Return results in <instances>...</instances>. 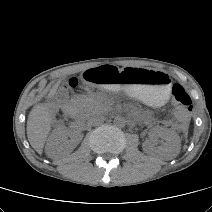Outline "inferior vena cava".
Wrapping results in <instances>:
<instances>
[{
	"instance_id": "inferior-vena-cava-1",
	"label": "inferior vena cava",
	"mask_w": 212,
	"mask_h": 212,
	"mask_svg": "<svg viewBox=\"0 0 212 212\" xmlns=\"http://www.w3.org/2000/svg\"><path fill=\"white\" fill-rule=\"evenodd\" d=\"M103 121H104L103 116L91 115L87 118L86 123L90 126H94V125H98V124L102 123Z\"/></svg>"
}]
</instances>
